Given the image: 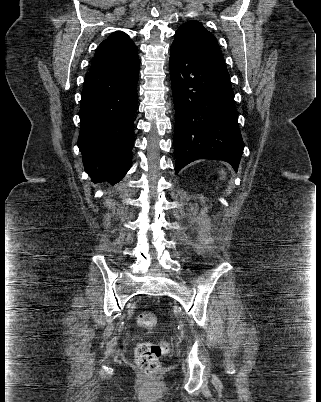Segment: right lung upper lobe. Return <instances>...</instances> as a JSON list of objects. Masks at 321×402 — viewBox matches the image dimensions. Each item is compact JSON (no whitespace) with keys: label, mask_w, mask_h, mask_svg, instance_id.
Masks as SVG:
<instances>
[{"label":"right lung upper lobe","mask_w":321,"mask_h":402,"mask_svg":"<svg viewBox=\"0 0 321 402\" xmlns=\"http://www.w3.org/2000/svg\"><path fill=\"white\" fill-rule=\"evenodd\" d=\"M140 65L137 47L127 34L112 33L98 47L90 71L126 69Z\"/></svg>","instance_id":"right-lung-upper-lobe-1"}]
</instances>
